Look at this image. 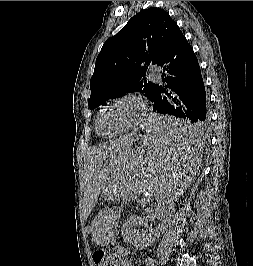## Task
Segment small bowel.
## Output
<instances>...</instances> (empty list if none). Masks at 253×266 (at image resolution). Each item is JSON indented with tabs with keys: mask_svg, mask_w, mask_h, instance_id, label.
I'll use <instances>...</instances> for the list:
<instances>
[{
	"mask_svg": "<svg viewBox=\"0 0 253 266\" xmlns=\"http://www.w3.org/2000/svg\"><path fill=\"white\" fill-rule=\"evenodd\" d=\"M117 251L122 256H124V258L120 260L119 266H132L131 261L127 258L128 256L131 255V251L124 247H118ZM144 266H154L153 260L151 258H146L144 262Z\"/></svg>",
	"mask_w": 253,
	"mask_h": 266,
	"instance_id": "1",
	"label": "small bowel"
}]
</instances>
